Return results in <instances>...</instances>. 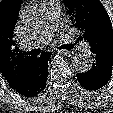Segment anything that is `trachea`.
Listing matches in <instances>:
<instances>
[{"label":"trachea","instance_id":"3493384b","mask_svg":"<svg viewBox=\"0 0 113 113\" xmlns=\"http://www.w3.org/2000/svg\"><path fill=\"white\" fill-rule=\"evenodd\" d=\"M74 47V45H61L59 48L60 49H66V50H70ZM31 55H38L40 54V50L39 49H33L30 51Z\"/></svg>","mask_w":113,"mask_h":113}]
</instances>
